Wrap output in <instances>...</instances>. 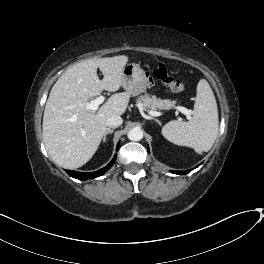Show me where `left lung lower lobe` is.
I'll return each mask as SVG.
<instances>
[{
	"label": "left lung lower lobe",
	"instance_id": "1",
	"mask_svg": "<svg viewBox=\"0 0 264 264\" xmlns=\"http://www.w3.org/2000/svg\"><path fill=\"white\" fill-rule=\"evenodd\" d=\"M148 151H149V148H148ZM199 166V165H198ZM197 166V167H198ZM191 170H186V171H171L172 173H175V174H180V175H182V174H187V173H189Z\"/></svg>",
	"mask_w": 264,
	"mask_h": 264
}]
</instances>
